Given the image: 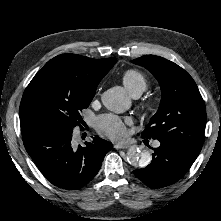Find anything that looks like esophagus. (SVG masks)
Here are the masks:
<instances>
[{
	"label": "esophagus",
	"instance_id": "obj_1",
	"mask_svg": "<svg viewBox=\"0 0 221 221\" xmlns=\"http://www.w3.org/2000/svg\"><path fill=\"white\" fill-rule=\"evenodd\" d=\"M114 147L116 149H127L130 147V145L129 144H116Z\"/></svg>",
	"mask_w": 221,
	"mask_h": 221
}]
</instances>
